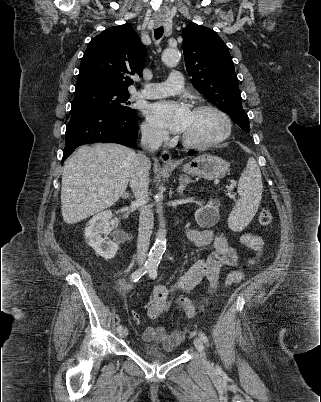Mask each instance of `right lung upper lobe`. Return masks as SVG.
<instances>
[{
  "label": "right lung upper lobe",
  "instance_id": "right-lung-upper-lobe-1",
  "mask_svg": "<svg viewBox=\"0 0 321 402\" xmlns=\"http://www.w3.org/2000/svg\"><path fill=\"white\" fill-rule=\"evenodd\" d=\"M145 60L146 48L131 25L108 28L90 41L76 85L97 83L128 91L130 76H141Z\"/></svg>",
  "mask_w": 321,
  "mask_h": 402
}]
</instances>
